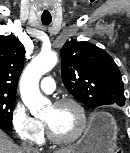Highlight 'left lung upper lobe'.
Returning a JSON list of instances; mask_svg holds the SVG:
<instances>
[{
    "instance_id": "5c2ea615",
    "label": "left lung upper lobe",
    "mask_w": 130,
    "mask_h": 153,
    "mask_svg": "<svg viewBox=\"0 0 130 153\" xmlns=\"http://www.w3.org/2000/svg\"><path fill=\"white\" fill-rule=\"evenodd\" d=\"M66 89L89 108L125 104L121 73L112 57L89 42L67 41L61 49Z\"/></svg>"
}]
</instances>
